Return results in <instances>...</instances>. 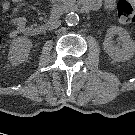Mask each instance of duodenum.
<instances>
[{"mask_svg": "<svg viewBox=\"0 0 135 135\" xmlns=\"http://www.w3.org/2000/svg\"><path fill=\"white\" fill-rule=\"evenodd\" d=\"M61 6L62 10L66 12L79 11L85 13L92 8V5L86 2V0H66ZM42 32L43 29L41 26H36L27 30V33L31 35H40Z\"/></svg>", "mask_w": 135, "mask_h": 135, "instance_id": "duodenum-1", "label": "duodenum"}]
</instances>
